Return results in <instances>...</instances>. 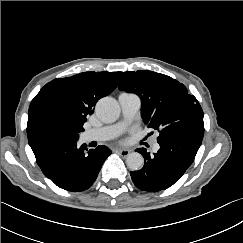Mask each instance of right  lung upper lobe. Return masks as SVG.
<instances>
[{"label": "right lung upper lobe", "mask_w": 243, "mask_h": 243, "mask_svg": "<svg viewBox=\"0 0 243 243\" xmlns=\"http://www.w3.org/2000/svg\"><path fill=\"white\" fill-rule=\"evenodd\" d=\"M122 72H83L47 83L32 100L28 111L27 133L42 129V112L56 106L82 122L94 112L95 104L117 86Z\"/></svg>", "instance_id": "1"}]
</instances>
